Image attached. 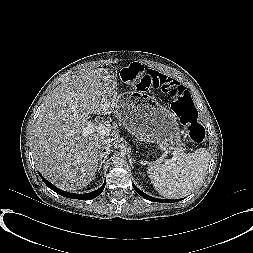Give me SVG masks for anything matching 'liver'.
I'll return each instance as SVG.
<instances>
[{
	"instance_id": "obj_1",
	"label": "liver",
	"mask_w": 253,
	"mask_h": 253,
	"mask_svg": "<svg viewBox=\"0 0 253 253\" xmlns=\"http://www.w3.org/2000/svg\"><path fill=\"white\" fill-rule=\"evenodd\" d=\"M117 82L107 68L81 69L50 94L33 126L36 168L62 190L86 187L96 176L106 145L117 138L84 135L90 114H116Z\"/></svg>"
}]
</instances>
